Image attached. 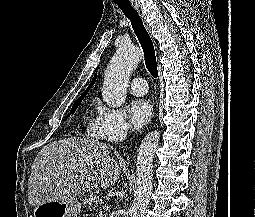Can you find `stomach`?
I'll list each match as a JSON object with an SVG mask.
<instances>
[{
    "mask_svg": "<svg viewBox=\"0 0 255 217\" xmlns=\"http://www.w3.org/2000/svg\"><path fill=\"white\" fill-rule=\"evenodd\" d=\"M81 203L76 198L40 204L34 209V217H77Z\"/></svg>",
    "mask_w": 255,
    "mask_h": 217,
    "instance_id": "0dacf381",
    "label": "stomach"
}]
</instances>
